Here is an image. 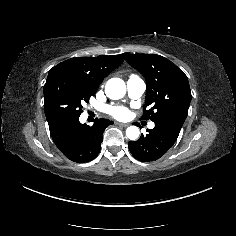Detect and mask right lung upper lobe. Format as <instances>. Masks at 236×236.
<instances>
[{
    "instance_id": "right-lung-upper-lobe-1",
    "label": "right lung upper lobe",
    "mask_w": 236,
    "mask_h": 236,
    "mask_svg": "<svg viewBox=\"0 0 236 236\" xmlns=\"http://www.w3.org/2000/svg\"><path fill=\"white\" fill-rule=\"evenodd\" d=\"M124 61V55L74 57L53 67L51 71L61 70L86 78L94 89L103 79Z\"/></svg>"
}]
</instances>
